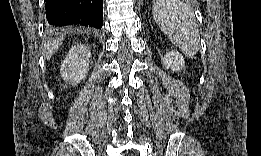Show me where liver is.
I'll use <instances>...</instances> for the list:
<instances>
[{
  "label": "liver",
  "instance_id": "1",
  "mask_svg": "<svg viewBox=\"0 0 261 156\" xmlns=\"http://www.w3.org/2000/svg\"><path fill=\"white\" fill-rule=\"evenodd\" d=\"M63 37H59L56 39L49 40L47 42V45L45 46L44 49V57L46 60H49L51 56L58 50V48L62 45L63 43Z\"/></svg>",
  "mask_w": 261,
  "mask_h": 156
}]
</instances>
